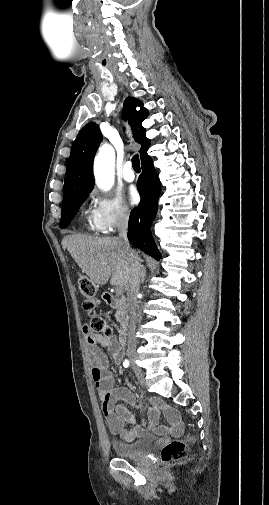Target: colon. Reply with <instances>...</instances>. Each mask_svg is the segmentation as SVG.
Segmentation results:
<instances>
[{
    "label": "colon",
    "instance_id": "obj_1",
    "mask_svg": "<svg viewBox=\"0 0 269 505\" xmlns=\"http://www.w3.org/2000/svg\"><path fill=\"white\" fill-rule=\"evenodd\" d=\"M79 290L84 297L83 307L90 316L86 329L94 335H109L111 327L107 317L97 314L98 300L96 298V286L93 281L81 276L78 280ZM187 454V442L172 440L165 444L161 450V458L165 463H172L183 459Z\"/></svg>",
    "mask_w": 269,
    "mask_h": 505
}]
</instances>
